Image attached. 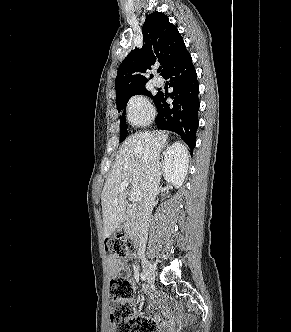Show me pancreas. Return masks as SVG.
I'll use <instances>...</instances> for the list:
<instances>
[{
    "instance_id": "obj_1",
    "label": "pancreas",
    "mask_w": 291,
    "mask_h": 332,
    "mask_svg": "<svg viewBox=\"0 0 291 332\" xmlns=\"http://www.w3.org/2000/svg\"><path fill=\"white\" fill-rule=\"evenodd\" d=\"M139 211L136 207H131L127 210L125 215V231L130 233L138 228Z\"/></svg>"
}]
</instances>
